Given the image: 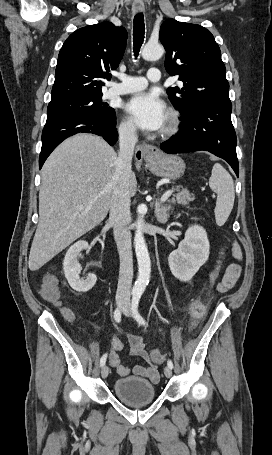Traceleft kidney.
<instances>
[{"instance_id":"5707ae66","label":"left kidney","mask_w":272,"mask_h":455,"mask_svg":"<svg viewBox=\"0 0 272 455\" xmlns=\"http://www.w3.org/2000/svg\"><path fill=\"white\" fill-rule=\"evenodd\" d=\"M209 250L210 245L205 229L199 225L189 227L178 249L168 258L173 276L183 282L190 281L208 260Z\"/></svg>"}]
</instances>
